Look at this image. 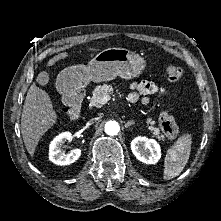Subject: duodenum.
Here are the masks:
<instances>
[{"instance_id":"duodenum-1","label":"duodenum","mask_w":221,"mask_h":221,"mask_svg":"<svg viewBox=\"0 0 221 221\" xmlns=\"http://www.w3.org/2000/svg\"><path fill=\"white\" fill-rule=\"evenodd\" d=\"M66 103L70 107V117L72 120H78L81 116V108L85 96L84 90L68 91Z\"/></svg>"}]
</instances>
